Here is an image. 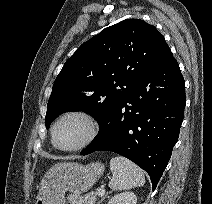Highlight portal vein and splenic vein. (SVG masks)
<instances>
[{
    "label": "portal vein and splenic vein",
    "mask_w": 212,
    "mask_h": 204,
    "mask_svg": "<svg viewBox=\"0 0 212 204\" xmlns=\"http://www.w3.org/2000/svg\"><path fill=\"white\" fill-rule=\"evenodd\" d=\"M105 194V189L102 187L101 189L98 190L97 195L98 196H103Z\"/></svg>",
    "instance_id": "1"
}]
</instances>
